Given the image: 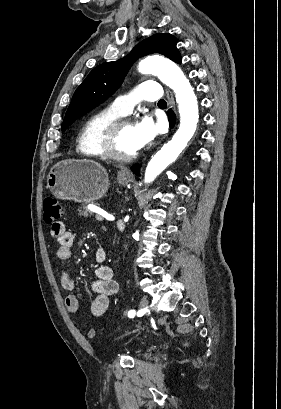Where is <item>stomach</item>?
I'll return each instance as SVG.
<instances>
[{"label":"stomach","mask_w":281,"mask_h":409,"mask_svg":"<svg viewBox=\"0 0 281 409\" xmlns=\"http://www.w3.org/2000/svg\"><path fill=\"white\" fill-rule=\"evenodd\" d=\"M117 180L119 184H128L132 178L118 172ZM109 184L106 168L96 160H59L53 164L47 176V188L56 198L75 202H91L102 198Z\"/></svg>","instance_id":"stomach-1"}]
</instances>
